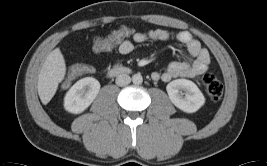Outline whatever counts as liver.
<instances>
[{
	"mask_svg": "<svg viewBox=\"0 0 267 166\" xmlns=\"http://www.w3.org/2000/svg\"><path fill=\"white\" fill-rule=\"evenodd\" d=\"M66 74V64L59 48L47 56L38 75L37 89L41 102L46 105L55 95Z\"/></svg>",
	"mask_w": 267,
	"mask_h": 166,
	"instance_id": "6515ba94",
	"label": "liver"
}]
</instances>
